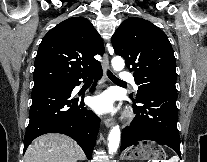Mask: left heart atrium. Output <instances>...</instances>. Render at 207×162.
Wrapping results in <instances>:
<instances>
[{
    "label": "left heart atrium",
    "instance_id": "obj_1",
    "mask_svg": "<svg viewBox=\"0 0 207 162\" xmlns=\"http://www.w3.org/2000/svg\"><path fill=\"white\" fill-rule=\"evenodd\" d=\"M91 107L99 114H110L116 111L115 98L111 91L93 97Z\"/></svg>",
    "mask_w": 207,
    "mask_h": 162
}]
</instances>
